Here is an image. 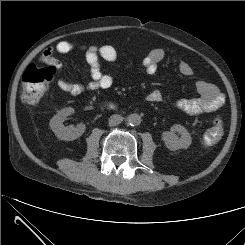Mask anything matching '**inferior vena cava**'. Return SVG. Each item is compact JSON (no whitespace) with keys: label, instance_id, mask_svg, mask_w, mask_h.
Returning <instances> with one entry per match:
<instances>
[{"label":"inferior vena cava","instance_id":"602c4592","mask_svg":"<svg viewBox=\"0 0 245 245\" xmlns=\"http://www.w3.org/2000/svg\"><path fill=\"white\" fill-rule=\"evenodd\" d=\"M123 121V117L119 114L111 115L109 118V125L116 126L119 125Z\"/></svg>","mask_w":245,"mask_h":245}]
</instances>
